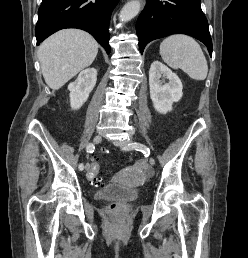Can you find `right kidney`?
Instances as JSON below:
<instances>
[{"instance_id": "right-kidney-1", "label": "right kidney", "mask_w": 248, "mask_h": 258, "mask_svg": "<svg viewBox=\"0 0 248 258\" xmlns=\"http://www.w3.org/2000/svg\"><path fill=\"white\" fill-rule=\"evenodd\" d=\"M97 80V71L95 68L83 70L74 82L68 85L70 91V104L74 110L79 109L88 99Z\"/></svg>"}]
</instances>
